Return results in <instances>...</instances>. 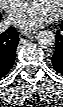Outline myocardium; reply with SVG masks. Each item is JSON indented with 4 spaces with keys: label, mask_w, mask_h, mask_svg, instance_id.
I'll return each mask as SVG.
<instances>
[{
    "label": "myocardium",
    "mask_w": 63,
    "mask_h": 107,
    "mask_svg": "<svg viewBox=\"0 0 63 107\" xmlns=\"http://www.w3.org/2000/svg\"><path fill=\"white\" fill-rule=\"evenodd\" d=\"M62 8H63V1L61 0L57 12L55 14H53L54 18H57L62 14Z\"/></svg>",
    "instance_id": "1"
}]
</instances>
